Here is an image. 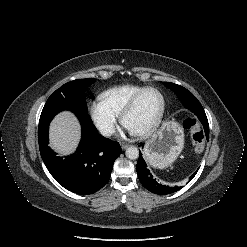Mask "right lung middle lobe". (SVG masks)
Returning <instances> with one entry per match:
<instances>
[{
    "instance_id": "obj_1",
    "label": "right lung middle lobe",
    "mask_w": 247,
    "mask_h": 247,
    "mask_svg": "<svg viewBox=\"0 0 247 247\" xmlns=\"http://www.w3.org/2000/svg\"><path fill=\"white\" fill-rule=\"evenodd\" d=\"M95 81L96 79L93 78L70 81L53 92L47 102H64L67 105L88 111L85 92Z\"/></svg>"
}]
</instances>
